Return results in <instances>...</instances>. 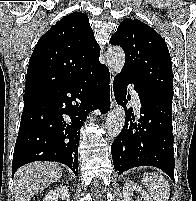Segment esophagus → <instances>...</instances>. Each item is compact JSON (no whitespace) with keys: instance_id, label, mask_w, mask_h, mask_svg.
I'll use <instances>...</instances> for the list:
<instances>
[{"instance_id":"34e87169","label":"esophagus","mask_w":196,"mask_h":201,"mask_svg":"<svg viewBox=\"0 0 196 201\" xmlns=\"http://www.w3.org/2000/svg\"><path fill=\"white\" fill-rule=\"evenodd\" d=\"M113 80H114V77L112 76L111 79H110L111 106L115 107L116 106V100H115L114 90H113Z\"/></svg>"}]
</instances>
